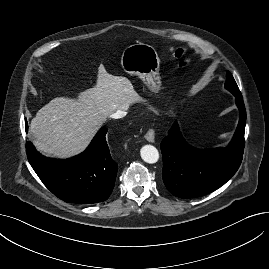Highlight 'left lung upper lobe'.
I'll return each mask as SVG.
<instances>
[{
  "label": "left lung upper lobe",
  "mask_w": 269,
  "mask_h": 269,
  "mask_svg": "<svg viewBox=\"0 0 269 269\" xmlns=\"http://www.w3.org/2000/svg\"><path fill=\"white\" fill-rule=\"evenodd\" d=\"M225 87L228 89L232 94L240 93V90L232 76V74L227 71L226 74V82H225Z\"/></svg>",
  "instance_id": "5c2ea615"
}]
</instances>
